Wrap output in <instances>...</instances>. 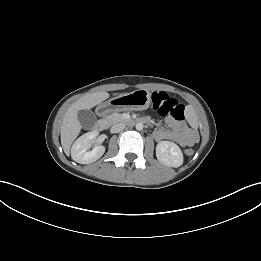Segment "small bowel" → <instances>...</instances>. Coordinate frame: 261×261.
Masks as SVG:
<instances>
[{"instance_id":"c3829d8e","label":"small bowel","mask_w":261,"mask_h":261,"mask_svg":"<svg viewBox=\"0 0 261 261\" xmlns=\"http://www.w3.org/2000/svg\"><path fill=\"white\" fill-rule=\"evenodd\" d=\"M168 126L169 128H159L154 132L157 141L173 140L181 146L191 145L197 141V134L183 122L170 119Z\"/></svg>"}]
</instances>
